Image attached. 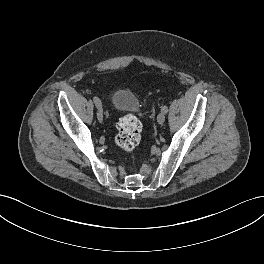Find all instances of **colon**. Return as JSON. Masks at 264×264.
<instances>
[{
  "instance_id": "colon-1",
  "label": "colon",
  "mask_w": 264,
  "mask_h": 264,
  "mask_svg": "<svg viewBox=\"0 0 264 264\" xmlns=\"http://www.w3.org/2000/svg\"><path fill=\"white\" fill-rule=\"evenodd\" d=\"M116 144L125 151H132L141 140L142 125L139 119L128 114L120 118L117 124Z\"/></svg>"
}]
</instances>
